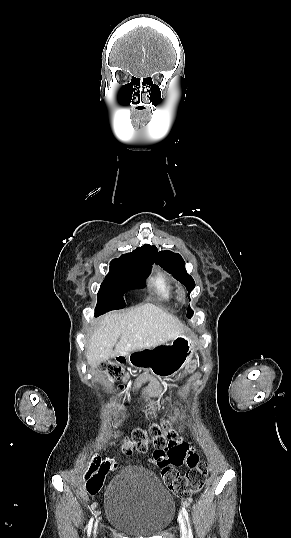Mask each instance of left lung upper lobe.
Returning <instances> with one entry per match:
<instances>
[{
    "label": "left lung upper lobe",
    "instance_id": "5c2ea615",
    "mask_svg": "<svg viewBox=\"0 0 291 538\" xmlns=\"http://www.w3.org/2000/svg\"><path fill=\"white\" fill-rule=\"evenodd\" d=\"M155 260L164 270L171 273L174 278L179 280L189 292L195 288V282L193 278L185 270V262L181 255L165 250L158 252L155 247ZM188 292V293H189ZM193 312L188 308L187 316L190 318Z\"/></svg>",
    "mask_w": 291,
    "mask_h": 538
}]
</instances>
